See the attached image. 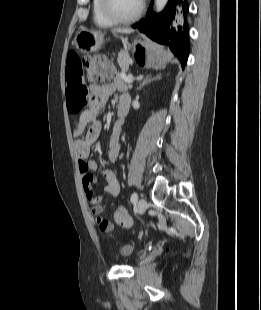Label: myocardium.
<instances>
[{
	"mask_svg": "<svg viewBox=\"0 0 261 310\" xmlns=\"http://www.w3.org/2000/svg\"><path fill=\"white\" fill-rule=\"evenodd\" d=\"M100 9L102 14L112 21L115 24H128L136 21L137 19L140 18V16L143 13L144 10V2L143 0L140 3V6L138 10L131 16L129 17H121L117 15L111 8V2L110 0H100Z\"/></svg>",
	"mask_w": 261,
	"mask_h": 310,
	"instance_id": "myocardium-1",
	"label": "myocardium"
}]
</instances>
